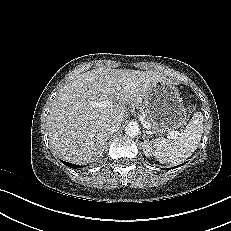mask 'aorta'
Instances as JSON below:
<instances>
[{"label": "aorta", "instance_id": "762f6f07", "mask_svg": "<svg viewBox=\"0 0 231 231\" xmlns=\"http://www.w3.org/2000/svg\"><path fill=\"white\" fill-rule=\"evenodd\" d=\"M140 132L139 125L136 122H130L125 127V133L129 137H136Z\"/></svg>", "mask_w": 231, "mask_h": 231}]
</instances>
